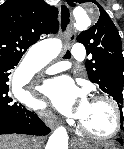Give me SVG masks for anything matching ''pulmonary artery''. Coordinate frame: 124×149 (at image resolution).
Listing matches in <instances>:
<instances>
[{"instance_id":"1","label":"pulmonary artery","mask_w":124,"mask_h":149,"mask_svg":"<svg viewBox=\"0 0 124 149\" xmlns=\"http://www.w3.org/2000/svg\"><path fill=\"white\" fill-rule=\"evenodd\" d=\"M72 58L76 61H83L85 59V47L82 43H76L71 50ZM69 67L67 61H60L57 63L51 64L46 68L47 73H57L63 70H66Z\"/></svg>"}]
</instances>
